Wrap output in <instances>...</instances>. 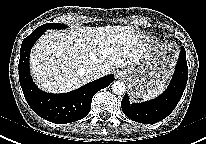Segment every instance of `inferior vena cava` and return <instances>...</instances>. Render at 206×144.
Here are the masks:
<instances>
[{
  "mask_svg": "<svg viewBox=\"0 0 206 144\" xmlns=\"http://www.w3.org/2000/svg\"><path fill=\"white\" fill-rule=\"evenodd\" d=\"M86 74L88 79L94 80L102 77L103 71L101 68L97 66H91L90 68L87 69Z\"/></svg>",
  "mask_w": 206,
  "mask_h": 144,
  "instance_id": "602c4592",
  "label": "inferior vena cava"
}]
</instances>
